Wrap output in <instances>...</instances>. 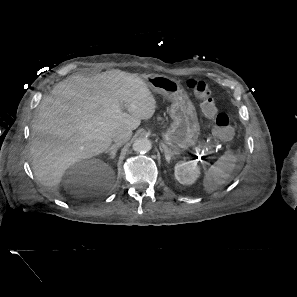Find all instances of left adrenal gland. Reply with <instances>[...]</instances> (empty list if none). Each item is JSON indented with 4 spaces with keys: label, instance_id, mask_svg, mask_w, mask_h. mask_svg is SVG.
<instances>
[{
    "label": "left adrenal gland",
    "instance_id": "left-adrenal-gland-1",
    "mask_svg": "<svg viewBox=\"0 0 297 297\" xmlns=\"http://www.w3.org/2000/svg\"><path fill=\"white\" fill-rule=\"evenodd\" d=\"M163 149H164V153H165L166 162L170 163V160L172 158H174V153L169 151L166 146H163Z\"/></svg>",
    "mask_w": 297,
    "mask_h": 297
}]
</instances>
